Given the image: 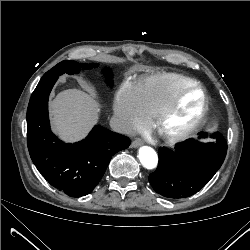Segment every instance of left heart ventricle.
Returning <instances> with one entry per match:
<instances>
[{"label": "left heart ventricle", "instance_id": "obj_1", "mask_svg": "<svg viewBox=\"0 0 250 250\" xmlns=\"http://www.w3.org/2000/svg\"><path fill=\"white\" fill-rule=\"evenodd\" d=\"M202 96L198 91H190L179 102L175 112L163 125L164 133H173L188 127L199 115Z\"/></svg>", "mask_w": 250, "mask_h": 250}]
</instances>
